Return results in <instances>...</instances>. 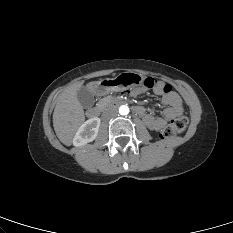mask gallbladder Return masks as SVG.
Here are the masks:
<instances>
[{
	"label": "gallbladder",
	"mask_w": 233,
	"mask_h": 233,
	"mask_svg": "<svg viewBox=\"0 0 233 233\" xmlns=\"http://www.w3.org/2000/svg\"><path fill=\"white\" fill-rule=\"evenodd\" d=\"M77 99L84 108H91L95 102L94 94L86 86H82L78 90Z\"/></svg>",
	"instance_id": "1"
}]
</instances>
